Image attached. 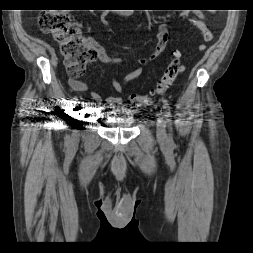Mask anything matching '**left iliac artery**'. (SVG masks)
<instances>
[{
  "instance_id": "1",
  "label": "left iliac artery",
  "mask_w": 253,
  "mask_h": 253,
  "mask_svg": "<svg viewBox=\"0 0 253 253\" xmlns=\"http://www.w3.org/2000/svg\"><path fill=\"white\" fill-rule=\"evenodd\" d=\"M163 108H164V116L166 117V122L168 123L169 131H170L169 142L173 143L171 112H170L169 105L166 100H163Z\"/></svg>"
}]
</instances>
